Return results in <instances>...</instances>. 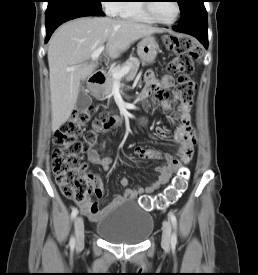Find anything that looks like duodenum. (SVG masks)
<instances>
[{
    "label": "duodenum",
    "mask_w": 258,
    "mask_h": 275,
    "mask_svg": "<svg viewBox=\"0 0 258 275\" xmlns=\"http://www.w3.org/2000/svg\"><path fill=\"white\" fill-rule=\"evenodd\" d=\"M105 82V74L102 71L94 72L90 79L89 84L91 86V91L94 96H97L100 86Z\"/></svg>",
    "instance_id": "obj_1"
}]
</instances>
